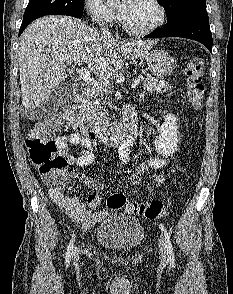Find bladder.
<instances>
[{"label": "bladder", "mask_w": 233, "mask_h": 294, "mask_svg": "<svg viewBox=\"0 0 233 294\" xmlns=\"http://www.w3.org/2000/svg\"><path fill=\"white\" fill-rule=\"evenodd\" d=\"M95 239L105 248L130 251L142 243L144 228L140 221L131 215L113 213L98 224Z\"/></svg>", "instance_id": "bladder-1"}]
</instances>
